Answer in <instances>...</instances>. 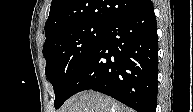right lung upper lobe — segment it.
<instances>
[{"label":"right lung upper lobe","instance_id":"right-lung-upper-lobe-1","mask_svg":"<svg viewBox=\"0 0 193 112\" xmlns=\"http://www.w3.org/2000/svg\"><path fill=\"white\" fill-rule=\"evenodd\" d=\"M142 1L52 0L49 17L45 23L46 41L62 29L79 23H98L108 26Z\"/></svg>","mask_w":193,"mask_h":112}]
</instances>
